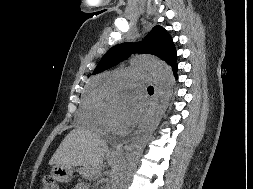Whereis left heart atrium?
Returning <instances> with one entry per match:
<instances>
[{"label": "left heart atrium", "instance_id": "1", "mask_svg": "<svg viewBox=\"0 0 253 189\" xmlns=\"http://www.w3.org/2000/svg\"><path fill=\"white\" fill-rule=\"evenodd\" d=\"M143 113V104L137 96H130L123 112L119 116V125L123 128L134 126Z\"/></svg>", "mask_w": 253, "mask_h": 189}]
</instances>
